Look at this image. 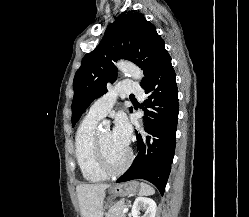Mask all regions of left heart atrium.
Listing matches in <instances>:
<instances>
[{"mask_svg": "<svg viewBox=\"0 0 249 217\" xmlns=\"http://www.w3.org/2000/svg\"><path fill=\"white\" fill-rule=\"evenodd\" d=\"M111 134L113 141L117 146L127 148L130 140V125L125 117L119 116L116 119L115 126Z\"/></svg>", "mask_w": 249, "mask_h": 217, "instance_id": "1", "label": "left heart atrium"}]
</instances>
